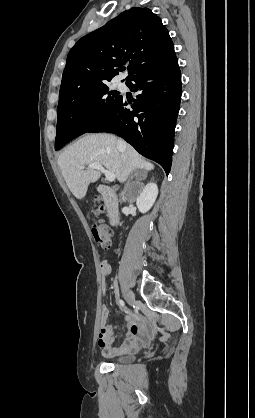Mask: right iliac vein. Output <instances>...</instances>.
<instances>
[{
    "mask_svg": "<svg viewBox=\"0 0 255 418\" xmlns=\"http://www.w3.org/2000/svg\"><path fill=\"white\" fill-rule=\"evenodd\" d=\"M124 297L129 305H133L135 303L134 294L129 290H124Z\"/></svg>",
    "mask_w": 255,
    "mask_h": 418,
    "instance_id": "right-iliac-vein-1",
    "label": "right iliac vein"
}]
</instances>
